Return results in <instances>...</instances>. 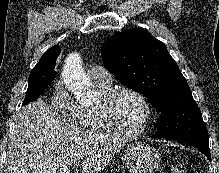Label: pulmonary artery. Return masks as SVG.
Returning a JSON list of instances; mask_svg holds the SVG:
<instances>
[{
    "instance_id": "pulmonary-artery-1",
    "label": "pulmonary artery",
    "mask_w": 219,
    "mask_h": 173,
    "mask_svg": "<svg viewBox=\"0 0 219 173\" xmlns=\"http://www.w3.org/2000/svg\"><path fill=\"white\" fill-rule=\"evenodd\" d=\"M89 77L92 82L101 84V85H111L112 76L110 72L100 65L92 66L89 71Z\"/></svg>"
}]
</instances>
